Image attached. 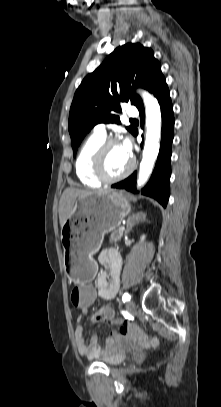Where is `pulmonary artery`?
I'll return each mask as SVG.
<instances>
[{
    "label": "pulmonary artery",
    "mask_w": 221,
    "mask_h": 407,
    "mask_svg": "<svg viewBox=\"0 0 221 407\" xmlns=\"http://www.w3.org/2000/svg\"><path fill=\"white\" fill-rule=\"evenodd\" d=\"M127 114L130 117H136V116H138V110L135 107L130 106L127 109ZM94 132L97 133V134L105 136L106 135L105 125L104 124L96 125L95 128H94Z\"/></svg>",
    "instance_id": "e3ab8cb5"
}]
</instances>
